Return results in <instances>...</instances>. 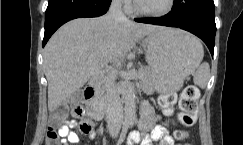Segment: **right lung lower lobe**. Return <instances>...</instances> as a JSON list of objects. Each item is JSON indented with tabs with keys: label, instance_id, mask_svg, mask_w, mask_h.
<instances>
[{
	"label": "right lung lower lobe",
	"instance_id": "1",
	"mask_svg": "<svg viewBox=\"0 0 243 145\" xmlns=\"http://www.w3.org/2000/svg\"><path fill=\"white\" fill-rule=\"evenodd\" d=\"M111 0H49L45 13L43 47L51 35L64 23L79 17H97L105 14Z\"/></svg>",
	"mask_w": 243,
	"mask_h": 145
}]
</instances>
